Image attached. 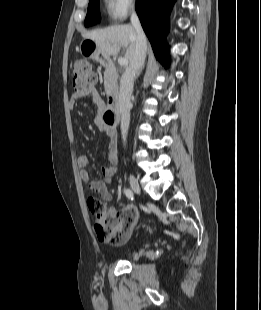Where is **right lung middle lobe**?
Masks as SVG:
<instances>
[{
  "mask_svg": "<svg viewBox=\"0 0 261 310\" xmlns=\"http://www.w3.org/2000/svg\"><path fill=\"white\" fill-rule=\"evenodd\" d=\"M100 21L99 0H90L85 18V26H91Z\"/></svg>",
  "mask_w": 261,
  "mask_h": 310,
  "instance_id": "right-lung-middle-lobe-1",
  "label": "right lung middle lobe"
}]
</instances>
